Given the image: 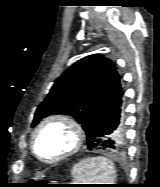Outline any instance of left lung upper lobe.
Instances as JSON below:
<instances>
[{
    "label": "left lung upper lobe",
    "mask_w": 160,
    "mask_h": 187,
    "mask_svg": "<svg viewBox=\"0 0 160 187\" xmlns=\"http://www.w3.org/2000/svg\"><path fill=\"white\" fill-rule=\"evenodd\" d=\"M121 90L120 76L113 62L98 54L84 57L55 81L38 106L32 126L49 115L66 114L73 116L87 134L104 106ZM111 137L123 139L124 143L122 126Z\"/></svg>",
    "instance_id": "1"
}]
</instances>
